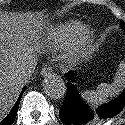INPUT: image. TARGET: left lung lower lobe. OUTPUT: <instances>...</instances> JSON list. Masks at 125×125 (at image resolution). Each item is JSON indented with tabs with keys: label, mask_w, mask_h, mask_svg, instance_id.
<instances>
[{
	"label": "left lung lower lobe",
	"mask_w": 125,
	"mask_h": 125,
	"mask_svg": "<svg viewBox=\"0 0 125 125\" xmlns=\"http://www.w3.org/2000/svg\"><path fill=\"white\" fill-rule=\"evenodd\" d=\"M67 83L66 99L59 111L60 120L66 125H93L107 118L117 115L125 106V91L113 102L91 110L80 98L72 82L76 77L73 72L66 74Z\"/></svg>",
	"instance_id": "1"
}]
</instances>
